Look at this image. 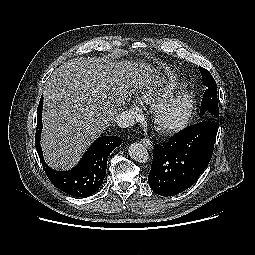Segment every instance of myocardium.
<instances>
[{"mask_svg": "<svg viewBox=\"0 0 255 255\" xmlns=\"http://www.w3.org/2000/svg\"><path fill=\"white\" fill-rule=\"evenodd\" d=\"M194 97L184 93L171 98L158 105L154 112V123L156 128L164 134H173L185 128L194 113ZM180 109V114L170 119V114Z\"/></svg>", "mask_w": 255, "mask_h": 255, "instance_id": "f54148a6", "label": "myocardium"}]
</instances>
